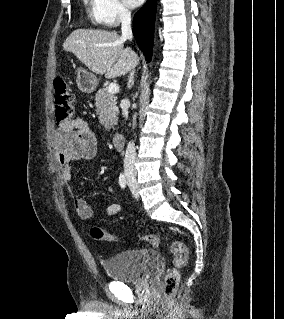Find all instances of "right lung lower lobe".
I'll list each match as a JSON object with an SVG mask.
<instances>
[{"mask_svg": "<svg viewBox=\"0 0 284 319\" xmlns=\"http://www.w3.org/2000/svg\"><path fill=\"white\" fill-rule=\"evenodd\" d=\"M155 13V0H150L133 19V35L148 62L152 57Z\"/></svg>", "mask_w": 284, "mask_h": 319, "instance_id": "right-lung-lower-lobe-1", "label": "right lung lower lobe"}]
</instances>
